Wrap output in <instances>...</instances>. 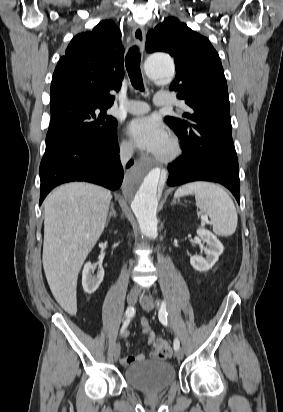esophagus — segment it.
Segmentation results:
<instances>
[{
	"mask_svg": "<svg viewBox=\"0 0 283 412\" xmlns=\"http://www.w3.org/2000/svg\"><path fill=\"white\" fill-rule=\"evenodd\" d=\"M135 44L143 49L145 43V31L141 26H135L132 32Z\"/></svg>",
	"mask_w": 283,
	"mask_h": 412,
	"instance_id": "obj_1",
	"label": "esophagus"
}]
</instances>
